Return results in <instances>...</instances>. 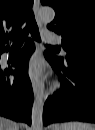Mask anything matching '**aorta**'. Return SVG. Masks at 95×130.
<instances>
[{
    "label": "aorta",
    "instance_id": "aorta-1",
    "mask_svg": "<svg viewBox=\"0 0 95 130\" xmlns=\"http://www.w3.org/2000/svg\"><path fill=\"white\" fill-rule=\"evenodd\" d=\"M55 12L50 7H42L37 12V18L45 23L53 21ZM45 92L44 87H41L35 94L31 113V130H43V106Z\"/></svg>",
    "mask_w": 95,
    "mask_h": 130
}]
</instances>
